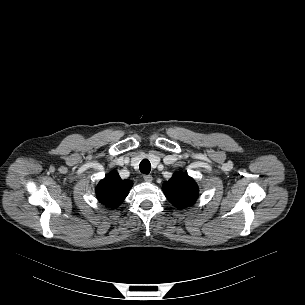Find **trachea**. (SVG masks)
<instances>
[{
	"mask_svg": "<svg viewBox=\"0 0 305 305\" xmlns=\"http://www.w3.org/2000/svg\"><path fill=\"white\" fill-rule=\"evenodd\" d=\"M139 168L143 174H149L150 170H151V164H150L149 160L143 159L140 162Z\"/></svg>",
	"mask_w": 305,
	"mask_h": 305,
	"instance_id": "3493384b",
	"label": "trachea"
}]
</instances>
